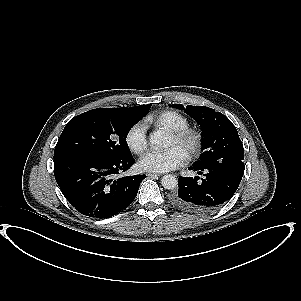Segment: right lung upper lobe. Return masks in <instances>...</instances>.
<instances>
[{
    "instance_id": "right-lung-upper-lobe-1",
    "label": "right lung upper lobe",
    "mask_w": 301,
    "mask_h": 301,
    "mask_svg": "<svg viewBox=\"0 0 301 301\" xmlns=\"http://www.w3.org/2000/svg\"><path fill=\"white\" fill-rule=\"evenodd\" d=\"M150 107H151V104L150 105H141V106H136V107H131V108H115V109L127 110V111H132V112L141 113V114H147ZM98 109H100V108H98Z\"/></svg>"
}]
</instances>
